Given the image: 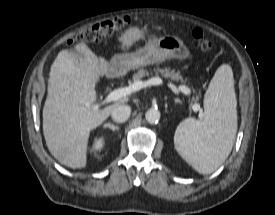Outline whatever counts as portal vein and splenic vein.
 Segmentation results:
<instances>
[{
  "mask_svg": "<svg viewBox=\"0 0 275 215\" xmlns=\"http://www.w3.org/2000/svg\"><path fill=\"white\" fill-rule=\"evenodd\" d=\"M160 84H162V80L158 77L151 78L147 81L135 82L130 86L119 88V89H116V90L110 92L108 94V96L100 104L95 105L94 108L98 109L102 105H105V104L113 102V101H117L123 97H126V96L140 90V89L146 88L148 86L160 85ZM171 87H174V86H171ZM178 90L181 91L185 95H190V93H191V90L184 85L179 86ZM192 109L195 112L200 111V116H202L201 108H200L199 104H194L192 106Z\"/></svg>",
  "mask_w": 275,
  "mask_h": 215,
  "instance_id": "portal-vein-and-splenic-vein-1",
  "label": "portal vein and splenic vein"
}]
</instances>
